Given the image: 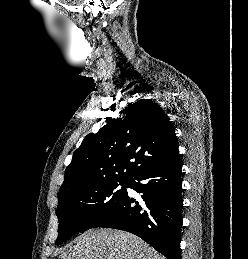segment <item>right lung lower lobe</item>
<instances>
[{
	"mask_svg": "<svg viewBox=\"0 0 248 259\" xmlns=\"http://www.w3.org/2000/svg\"><path fill=\"white\" fill-rule=\"evenodd\" d=\"M181 170L178 155L138 173L128 187L141 193L142 200L138 202L126 193L111 218L98 227L133 233L167 259H182Z\"/></svg>",
	"mask_w": 248,
	"mask_h": 259,
	"instance_id": "obj_1",
	"label": "right lung lower lobe"
}]
</instances>
